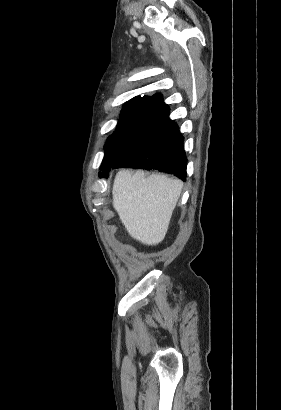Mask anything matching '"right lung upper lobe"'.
I'll use <instances>...</instances> for the list:
<instances>
[{
    "mask_svg": "<svg viewBox=\"0 0 281 410\" xmlns=\"http://www.w3.org/2000/svg\"><path fill=\"white\" fill-rule=\"evenodd\" d=\"M124 106H148L169 111L168 105L163 102L161 94L137 96L126 102Z\"/></svg>",
    "mask_w": 281,
    "mask_h": 410,
    "instance_id": "right-lung-upper-lobe-1",
    "label": "right lung upper lobe"
}]
</instances>
